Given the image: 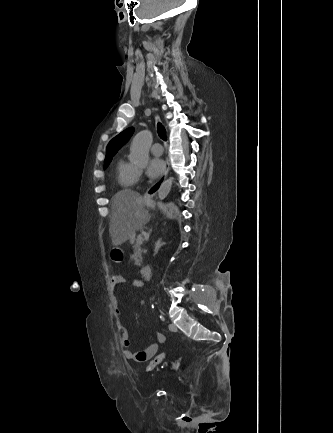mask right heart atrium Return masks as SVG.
<instances>
[{
  "label": "right heart atrium",
  "instance_id": "d8ad5b80",
  "mask_svg": "<svg viewBox=\"0 0 333 433\" xmlns=\"http://www.w3.org/2000/svg\"><path fill=\"white\" fill-rule=\"evenodd\" d=\"M138 174H139V176L142 174V171L141 170H138Z\"/></svg>",
  "mask_w": 333,
  "mask_h": 433
}]
</instances>
